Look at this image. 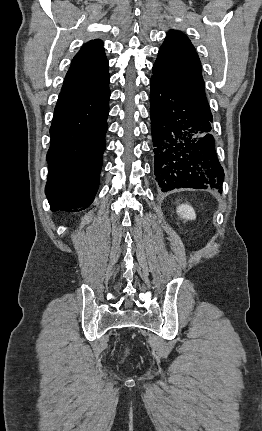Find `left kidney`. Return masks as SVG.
<instances>
[{
    "instance_id": "1",
    "label": "left kidney",
    "mask_w": 262,
    "mask_h": 431,
    "mask_svg": "<svg viewBox=\"0 0 262 431\" xmlns=\"http://www.w3.org/2000/svg\"><path fill=\"white\" fill-rule=\"evenodd\" d=\"M177 213L180 217L186 220H194L196 218L195 211L187 204H183L177 207Z\"/></svg>"
}]
</instances>
